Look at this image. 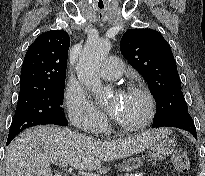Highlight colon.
Segmentation results:
<instances>
[{
	"label": "colon",
	"mask_w": 205,
	"mask_h": 176,
	"mask_svg": "<svg viewBox=\"0 0 205 176\" xmlns=\"http://www.w3.org/2000/svg\"><path fill=\"white\" fill-rule=\"evenodd\" d=\"M170 163L172 168L180 173L181 175H185L189 169V159L187 154L182 150H176L170 159Z\"/></svg>",
	"instance_id": "1"
}]
</instances>
